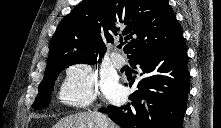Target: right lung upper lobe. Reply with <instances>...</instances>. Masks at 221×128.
<instances>
[{"instance_id":"cb5924a9","label":"right lung upper lobe","mask_w":221,"mask_h":128,"mask_svg":"<svg viewBox=\"0 0 221 128\" xmlns=\"http://www.w3.org/2000/svg\"><path fill=\"white\" fill-rule=\"evenodd\" d=\"M122 36L130 61L177 43L182 29L168 0H84L58 25L47 65L73 58L101 59L105 43Z\"/></svg>"}]
</instances>
